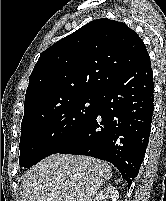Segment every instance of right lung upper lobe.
I'll list each match as a JSON object with an SVG mask.
<instances>
[{
	"label": "right lung upper lobe",
	"mask_w": 166,
	"mask_h": 201,
	"mask_svg": "<svg viewBox=\"0 0 166 201\" xmlns=\"http://www.w3.org/2000/svg\"><path fill=\"white\" fill-rule=\"evenodd\" d=\"M146 53L144 42L125 23L89 22L40 55L29 77L24 116L97 96Z\"/></svg>",
	"instance_id": "1"
}]
</instances>
